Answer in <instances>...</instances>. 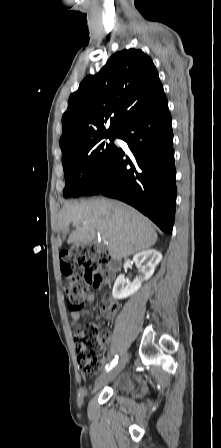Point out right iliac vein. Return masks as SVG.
<instances>
[{
	"label": "right iliac vein",
	"mask_w": 221,
	"mask_h": 448,
	"mask_svg": "<svg viewBox=\"0 0 221 448\" xmlns=\"http://www.w3.org/2000/svg\"><path fill=\"white\" fill-rule=\"evenodd\" d=\"M128 360V355L125 354L120 362L114 366L112 369H110L108 372L102 374L99 379L97 380L95 387H99L101 384H103L105 381L112 379L116 377L125 367L126 362Z\"/></svg>",
	"instance_id": "63e3f726"
}]
</instances>
